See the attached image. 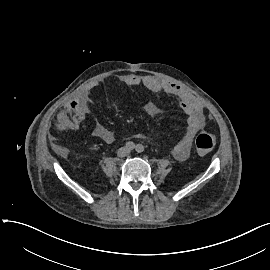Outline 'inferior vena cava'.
<instances>
[{
    "label": "inferior vena cava",
    "mask_w": 270,
    "mask_h": 270,
    "mask_svg": "<svg viewBox=\"0 0 270 270\" xmlns=\"http://www.w3.org/2000/svg\"><path fill=\"white\" fill-rule=\"evenodd\" d=\"M129 153H130V150H129L128 148L123 147V148L119 149V151H118V156H119V157H125V156H127Z\"/></svg>",
    "instance_id": "inferior-vena-cava-1"
}]
</instances>
